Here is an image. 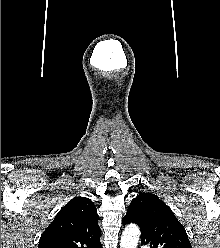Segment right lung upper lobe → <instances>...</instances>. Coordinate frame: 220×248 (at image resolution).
Wrapping results in <instances>:
<instances>
[{"label": "right lung upper lobe", "mask_w": 220, "mask_h": 248, "mask_svg": "<svg viewBox=\"0 0 220 248\" xmlns=\"http://www.w3.org/2000/svg\"><path fill=\"white\" fill-rule=\"evenodd\" d=\"M98 220L94 203L75 197L43 232L38 248H101Z\"/></svg>", "instance_id": "1"}]
</instances>
